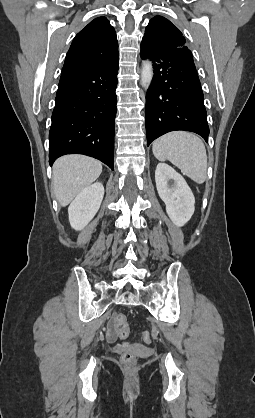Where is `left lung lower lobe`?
<instances>
[{
  "mask_svg": "<svg viewBox=\"0 0 255 418\" xmlns=\"http://www.w3.org/2000/svg\"><path fill=\"white\" fill-rule=\"evenodd\" d=\"M140 56L152 61L154 71L146 94L147 145L176 130L195 132L207 141L204 96L191 51L153 52L141 46Z\"/></svg>",
  "mask_w": 255,
  "mask_h": 418,
  "instance_id": "1",
  "label": "left lung lower lobe"
}]
</instances>
